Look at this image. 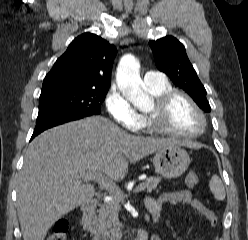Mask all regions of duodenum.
<instances>
[{"label": "duodenum", "mask_w": 248, "mask_h": 240, "mask_svg": "<svg viewBox=\"0 0 248 240\" xmlns=\"http://www.w3.org/2000/svg\"><path fill=\"white\" fill-rule=\"evenodd\" d=\"M98 202L96 200L90 199L82 203L80 210L82 215H89L92 213ZM149 239V234L146 229H141L134 237L132 240H148Z\"/></svg>", "instance_id": "410a0bca"}]
</instances>
